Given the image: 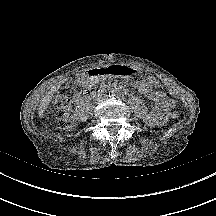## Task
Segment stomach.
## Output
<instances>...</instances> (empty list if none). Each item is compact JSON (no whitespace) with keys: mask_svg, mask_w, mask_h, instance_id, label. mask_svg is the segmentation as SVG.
I'll use <instances>...</instances> for the list:
<instances>
[{"mask_svg":"<svg viewBox=\"0 0 216 216\" xmlns=\"http://www.w3.org/2000/svg\"><path fill=\"white\" fill-rule=\"evenodd\" d=\"M134 70L129 65L107 64L105 66H95L90 69L89 76L93 80L106 79L109 77L129 78L133 75Z\"/></svg>","mask_w":216,"mask_h":216,"instance_id":"0dacf381","label":"stomach"}]
</instances>
